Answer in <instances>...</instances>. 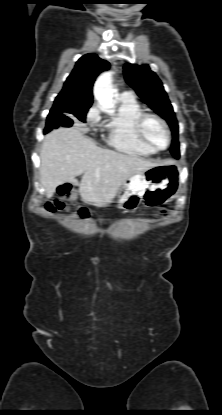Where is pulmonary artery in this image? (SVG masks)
<instances>
[{
  "instance_id": "1",
  "label": "pulmonary artery",
  "mask_w": 222,
  "mask_h": 415,
  "mask_svg": "<svg viewBox=\"0 0 222 415\" xmlns=\"http://www.w3.org/2000/svg\"><path fill=\"white\" fill-rule=\"evenodd\" d=\"M123 96H127V97H133L132 93L130 91H125L122 93Z\"/></svg>"
}]
</instances>
